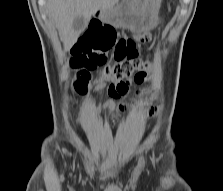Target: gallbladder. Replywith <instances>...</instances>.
I'll return each mask as SVG.
<instances>
[{
  "instance_id": "obj_1",
  "label": "gallbladder",
  "mask_w": 223,
  "mask_h": 191,
  "mask_svg": "<svg viewBox=\"0 0 223 191\" xmlns=\"http://www.w3.org/2000/svg\"><path fill=\"white\" fill-rule=\"evenodd\" d=\"M86 24V20L82 16H79L73 22V29L77 32L83 31L86 28Z\"/></svg>"
}]
</instances>
